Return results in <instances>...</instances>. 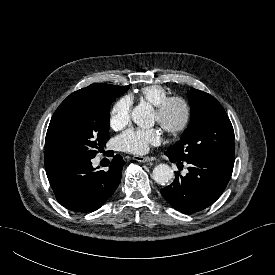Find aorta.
<instances>
[{"label":"aorta","mask_w":275,"mask_h":275,"mask_svg":"<svg viewBox=\"0 0 275 275\" xmlns=\"http://www.w3.org/2000/svg\"><path fill=\"white\" fill-rule=\"evenodd\" d=\"M131 118L135 124L143 128L153 126L152 107L148 103L138 104L131 113ZM174 172L167 164H158L153 169V179L160 185H165L172 180Z\"/></svg>","instance_id":"762f6f07"}]
</instances>
